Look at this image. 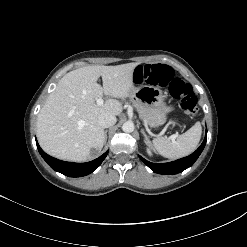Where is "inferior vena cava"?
Segmentation results:
<instances>
[{
    "mask_svg": "<svg viewBox=\"0 0 247 247\" xmlns=\"http://www.w3.org/2000/svg\"><path fill=\"white\" fill-rule=\"evenodd\" d=\"M98 123L102 128H108L116 123V117L111 113H104L99 116Z\"/></svg>",
    "mask_w": 247,
    "mask_h": 247,
    "instance_id": "602c4592",
    "label": "inferior vena cava"
}]
</instances>
